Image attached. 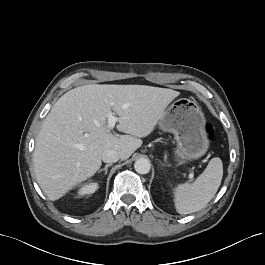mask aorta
Returning a JSON list of instances; mask_svg holds the SVG:
<instances>
[{"label": "aorta", "instance_id": "aorta-1", "mask_svg": "<svg viewBox=\"0 0 265 265\" xmlns=\"http://www.w3.org/2000/svg\"><path fill=\"white\" fill-rule=\"evenodd\" d=\"M135 171L139 174H147L151 169L150 161L146 158L137 159L134 163Z\"/></svg>", "mask_w": 265, "mask_h": 265}]
</instances>
